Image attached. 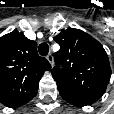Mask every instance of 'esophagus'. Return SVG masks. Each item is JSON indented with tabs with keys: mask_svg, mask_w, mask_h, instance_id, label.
Returning a JSON list of instances; mask_svg holds the SVG:
<instances>
[{
	"mask_svg": "<svg viewBox=\"0 0 114 114\" xmlns=\"http://www.w3.org/2000/svg\"><path fill=\"white\" fill-rule=\"evenodd\" d=\"M46 58L48 62L51 64V66H53V56L51 54H48Z\"/></svg>",
	"mask_w": 114,
	"mask_h": 114,
	"instance_id": "1",
	"label": "esophagus"
}]
</instances>
